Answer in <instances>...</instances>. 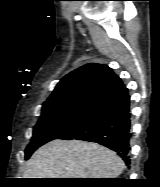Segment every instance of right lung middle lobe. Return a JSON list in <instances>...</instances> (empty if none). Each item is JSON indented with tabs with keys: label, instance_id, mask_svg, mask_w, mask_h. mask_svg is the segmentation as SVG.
Returning a JSON list of instances; mask_svg holds the SVG:
<instances>
[{
	"label": "right lung middle lobe",
	"instance_id": "dd1d6c3e",
	"mask_svg": "<svg viewBox=\"0 0 160 187\" xmlns=\"http://www.w3.org/2000/svg\"><path fill=\"white\" fill-rule=\"evenodd\" d=\"M96 103L72 102L60 106L42 108L41 117L34 127L30 144L25 150V159L43 144L58 138L85 118Z\"/></svg>",
	"mask_w": 160,
	"mask_h": 187
}]
</instances>
